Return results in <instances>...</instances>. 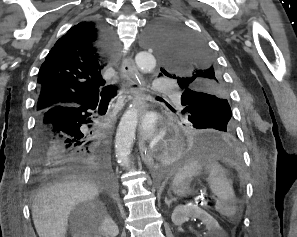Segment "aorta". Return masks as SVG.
Wrapping results in <instances>:
<instances>
[{
	"mask_svg": "<svg viewBox=\"0 0 297 237\" xmlns=\"http://www.w3.org/2000/svg\"><path fill=\"white\" fill-rule=\"evenodd\" d=\"M149 44L154 43L149 39ZM137 68L147 73L152 71L156 66L155 57L149 52H140L135 57ZM138 122V112L135 106L130 108L124 113L115 140V152L118 162L121 166H127L129 162L128 156L132 151L133 137Z\"/></svg>",
	"mask_w": 297,
	"mask_h": 237,
	"instance_id": "aorta-1",
	"label": "aorta"
}]
</instances>
